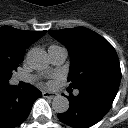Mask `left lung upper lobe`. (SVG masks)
<instances>
[{
	"mask_svg": "<svg viewBox=\"0 0 128 128\" xmlns=\"http://www.w3.org/2000/svg\"><path fill=\"white\" fill-rule=\"evenodd\" d=\"M48 33L68 48L71 57L68 81L72 88L79 89L98 81L120 83L117 53L105 38L84 27L50 30Z\"/></svg>",
	"mask_w": 128,
	"mask_h": 128,
	"instance_id": "left-lung-upper-lobe-1",
	"label": "left lung upper lobe"
}]
</instances>
